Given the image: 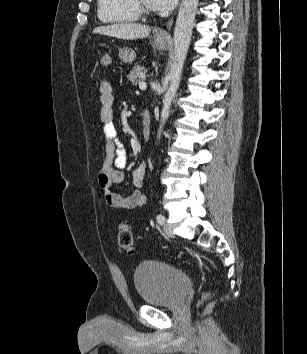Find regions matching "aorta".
<instances>
[{"label":"aorta","instance_id":"762f6f07","mask_svg":"<svg viewBox=\"0 0 307 354\" xmlns=\"http://www.w3.org/2000/svg\"><path fill=\"white\" fill-rule=\"evenodd\" d=\"M199 0H182L178 11L174 29V53L171 60L169 88L163 97V107L158 129L160 139L164 124L170 115L172 101L177 93L181 81L184 62L191 41L192 29Z\"/></svg>","mask_w":307,"mask_h":354}]
</instances>
